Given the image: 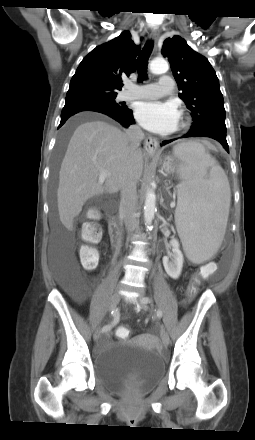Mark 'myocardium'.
I'll return each mask as SVG.
<instances>
[{
	"label": "myocardium",
	"instance_id": "1",
	"mask_svg": "<svg viewBox=\"0 0 255 440\" xmlns=\"http://www.w3.org/2000/svg\"><path fill=\"white\" fill-rule=\"evenodd\" d=\"M186 126V122L185 121H182L181 122V125H180V128H184Z\"/></svg>",
	"mask_w": 255,
	"mask_h": 440
}]
</instances>
